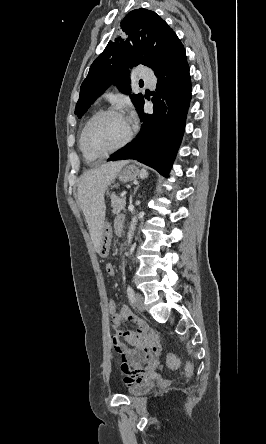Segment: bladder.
Wrapping results in <instances>:
<instances>
[{"instance_id": "31cf9c89", "label": "bladder", "mask_w": 266, "mask_h": 444, "mask_svg": "<svg viewBox=\"0 0 266 444\" xmlns=\"http://www.w3.org/2000/svg\"><path fill=\"white\" fill-rule=\"evenodd\" d=\"M154 388V385L152 383H143V384H137L128 389V393L131 396L139 397L148 394L150 391H152Z\"/></svg>"}]
</instances>
